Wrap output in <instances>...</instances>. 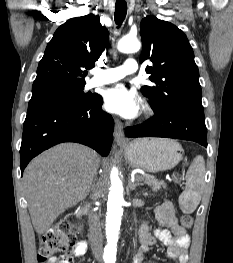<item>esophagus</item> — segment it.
<instances>
[{"instance_id":"34e87169","label":"esophagus","mask_w":233,"mask_h":263,"mask_svg":"<svg viewBox=\"0 0 233 263\" xmlns=\"http://www.w3.org/2000/svg\"><path fill=\"white\" fill-rule=\"evenodd\" d=\"M114 139L118 146H124L127 143L124 135L123 124L118 119H115L114 121Z\"/></svg>"}]
</instances>
